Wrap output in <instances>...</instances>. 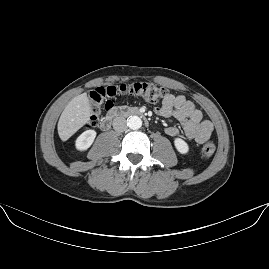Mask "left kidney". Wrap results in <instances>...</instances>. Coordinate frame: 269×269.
<instances>
[{
  "instance_id": "obj_1",
  "label": "left kidney",
  "mask_w": 269,
  "mask_h": 269,
  "mask_svg": "<svg viewBox=\"0 0 269 269\" xmlns=\"http://www.w3.org/2000/svg\"><path fill=\"white\" fill-rule=\"evenodd\" d=\"M176 146H177L178 150L182 153H185L188 150L186 143L184 141H182L181 139L176 140Z\"/></svg>"
}]
</instances>
